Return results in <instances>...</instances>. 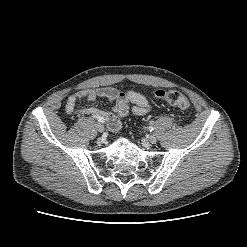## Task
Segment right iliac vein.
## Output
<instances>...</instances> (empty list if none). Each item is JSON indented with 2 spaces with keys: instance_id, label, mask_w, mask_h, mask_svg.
<instances>
[{
  "instance_id": "obj_1",
  "label": "right iliac vein",
  "mask_w": 247,
  "mask_h": 247,
  "mask_svg": "<svg viewBox=\"0 0 247 247\" xmlns=\"http://www.w3.org/2000/svg\"><path fill=\"white\" fill-rule=\"evenodd\" d=\"M96 129L98 132H103L104 131V126L101 123H96Z\"/></svg>"
}]
</instances>
